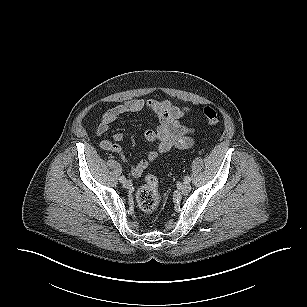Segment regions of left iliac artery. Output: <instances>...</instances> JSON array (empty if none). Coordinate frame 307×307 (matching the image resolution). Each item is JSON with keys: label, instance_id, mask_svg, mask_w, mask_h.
Returning <instances> with one entry per match:
<instances>
[{"label": "left iliac artery", "instance_id": "1", "mask_svg": "<svg viewBox=\"0 0 307 307\" xmlns=\"http://www.w3.org/2000/svg\"><path fill=\"white\" fill-rule=\"evenodd\" d=\"M184 181H185V182H190V181H191V179H190V177H189V176H185Z\"/></svg>", "mask_w": 307, "mask_h": 307}]
</instances>
